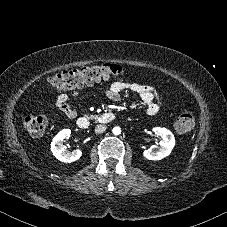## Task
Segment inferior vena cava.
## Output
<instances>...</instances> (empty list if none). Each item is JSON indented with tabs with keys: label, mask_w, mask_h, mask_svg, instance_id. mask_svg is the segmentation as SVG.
<instances>
[{
	"label": "inferior vena cava",
	"mask_w": 227,
	"mask_h": 227,
	"mask_svg": "<svg viewBox=\"0 0 227 227\" xmlns=\"http://www.w3.org/2000/svg\"><path fill=\"white\" fill-rule=\"evenodd\" d=\"M105 130H106V126L105 125H97L95 127V132L96 133H103V132H105Z\"/></svg>",
	"instance_id": "1"
}]
</instances>
